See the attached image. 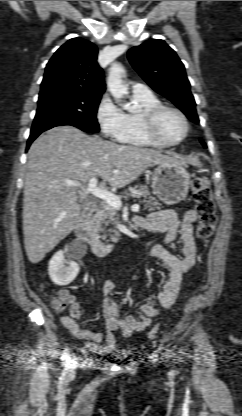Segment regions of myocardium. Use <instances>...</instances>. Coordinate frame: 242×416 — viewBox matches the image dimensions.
<instances>
[{
    "label": "myocardium",
    "mask_w": 242,
    "mask_h": 416,
    "mask_svg": "<svg viewBox=\"0 0 242 416\" xmlns=\"http://www.w3.org/2000/svg\"><path fill=\"white\" fill-rule=\"evenodd\" d=\"M173 112L179 116L184 125L183 135L176 140H168L164 138L158 131L157 124L161 115L165 112ZM143 126L146 134L155 142L164 145L172 146L183 142L189 133V122L186 115L178 108L169 105H158L143 113Z\"/></svg>",
    "instance_id": "1"
}]
</instances>
